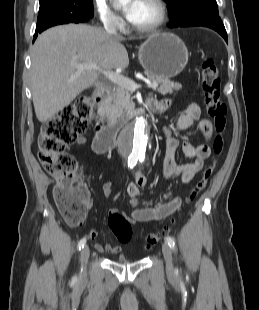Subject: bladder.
Masks as SVG:
<instances>
[{"mask_svg":"<svg viewBox=\"0 0 259 310\" xmlns=\"http://www.w3.org/2000/svg\"><path fill=\"white\" fill-rule=\"evenodd\" d=\"M116 261L119 262V263H127V261H126V259L124 257H118L116 259Z\"/></svg>","mask_w":259,"mask_h":310,"instance_id":"1","label":"bladder"}]
</instances>
